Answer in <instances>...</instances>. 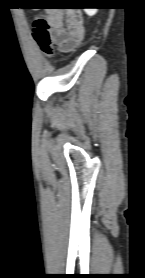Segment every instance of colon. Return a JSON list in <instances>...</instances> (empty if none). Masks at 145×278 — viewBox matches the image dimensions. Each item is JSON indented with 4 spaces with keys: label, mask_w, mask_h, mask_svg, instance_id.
I'll use <instances>...</instances> for the list:
<instances>
[{
    "label": "colon",
    "mask_w": 145,
    "mask_h": 278,
    "mask_svg": "<svg viewBox=\"0 0 145 278\" xmlns=\"http://www.w3.org/2000/svg\"><path fill=\"white\" fill-rule=\"evenodd\" d=\"M70 8L80 9L83 8L82 4H71L68 5ZM41 8V7H34ZM45 9L41 11L39 18L34 22V37L41 46L42 51L45 55L49 56L51 51V38H50V22L48 20L47 13L54 8L53 6L44 7Z\"/></svg>",
    "instance_id": "1"
}]
</instances>
